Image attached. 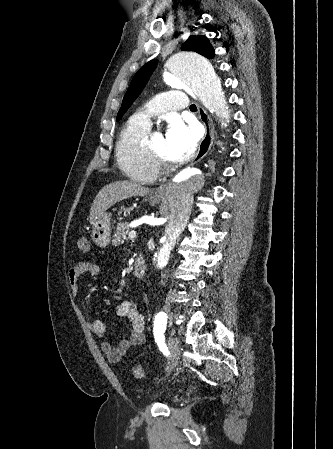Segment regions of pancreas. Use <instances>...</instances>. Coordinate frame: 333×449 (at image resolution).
Wrapping results in <instances>:
<instances>
[{"mask_svg":"<svg viewBox=\"0 0 333 449\" xmlns=\"http://www.w3.org/2000/svg\"><path fill=\"white\" fill-rule=\"evenodd\" d=\"M129 228L130 226L127 222H120L118 224L112 240L114 245H119L121 242H123V239H127L126 235L129 231Z\"/></svg>","mask_w":333,"mask_h":449,"instance_id":"cf45deb5","label":"pancreas"}]
</instances>
